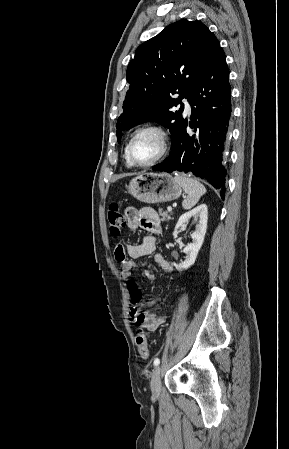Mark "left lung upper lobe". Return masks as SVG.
Masks as SVG:
<instances>
[{"label":"left lung upper lobe","mask_w":289,"mask_h":449,"mask_svg":"<svg viewBox=\"0 0 289 449\" xmlns=\"http://www.w3.org/2000/svg\"><path fill=\"white\" fill-rule=\"evenodd\" d=\"M219 47L203 23L186 19L170 24L140 45L126 72L130 88L116 125L117 141L122 130L146 121L161 123L173 135L184 120V105L175 112L171 108L188 98L202 67ZM174 94L179 96L174 98Z\"/></svg>","instance_id":"obj_1"}]
</instances>
